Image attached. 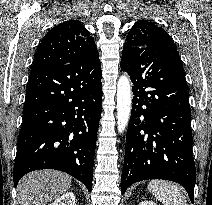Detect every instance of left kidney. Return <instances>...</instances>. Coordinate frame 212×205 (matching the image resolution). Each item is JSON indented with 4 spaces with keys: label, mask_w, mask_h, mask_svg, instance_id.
I'll use <instances>...</instances> for the list:
<instances>
[{
    "label": "left kidney",
    "mask_w": 212,
    "mask_h": 205,
    "mask_svg": "<svg viewBox=\"0 0 212 205\" xmlns=\"http://www.w3.org/2000/svg\"><path fill=\"white\" fill-rule=\"evenodd\" d=\"M139 205H157V204L150 200H144V201H141Z\"/></svg>",
    "instance_id": "5707ae66"
}]
</instances>
